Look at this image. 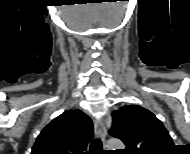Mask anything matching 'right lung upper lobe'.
<instances>
[{"label":"right lung upper lobe","mask_w":190,"mask_h":154,"mask_svg":"<svg viewBox=\"0 0 190 154\" xmlns=\"http://www.w3.org/2000/svg\"><path fill=\"white\" fill-rule=\"evenodd\" d=\"M92 135L91 119L80 110H67L41 131L31 154H82Z\"/></svg>","instance_id":"obj_1"}]
</instances>
